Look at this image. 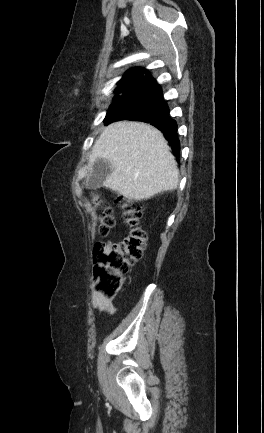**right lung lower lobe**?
<instances>
[{
  "label": "right lung lower lobe",
  "instance_id": "right-lung-lower-lobe-1",
  "mask_svg": "<svg viewBox=\"0 0 264 433\" xmlns=\"http://www.w3.org/2000/svg\"><path fill=\"white\" fill-rule=\"evenodd\" d=\"M135 111L124 118L133 121L150 123L158 128L170 142L176 155L179 154L180 142L177 137V123L169 115V107L163 98L162 89L155 79H151L141 90L137 102L133 105ZM111 123V122H110Z\"/></svg>",
  "mask_w": 264,
  "mask_h": 433
}]
</instances>
